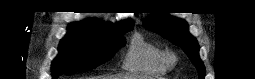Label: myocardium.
Listing matches in <instances>:
<instances>
[{
  "label": "myocardium",
  "mask_w": 255,
  "mask_h": 79,
  "mask_svg": "<svg viewBox=\"0 0 255 79\" xmlns=\"http://www.w3.org/2000/svg\"><path fill=\"white\" fill-rule=\"evenodd\" d=\"M163 61L164 64L169 68L173 67L177 62V56L172 51H164L163 52Z\"/></svg>",
  "instance_id": "1"
}]
</instances>
